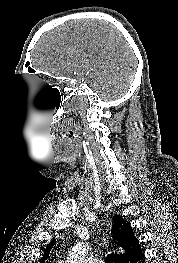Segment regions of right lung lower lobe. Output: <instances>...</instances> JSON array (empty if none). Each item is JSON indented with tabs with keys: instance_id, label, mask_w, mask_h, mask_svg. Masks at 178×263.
I'll use <instances>...</instances> for the list:
<instances>
[{
	"instance_id": "1",
	"label": "right lung lower lobe",
	"mask_w": 178,
	"mask_h": 263,
	"mask_svg": "<svg viewBox=\"0 0 178 263\" xmlns=\"http://www.w3.org/2000/svg\"><path fill=\"white\" fill-rule=\"evenodd\" d=\"M127 263H145L144 254L140 250L132 259L127 261Z\"/></svg>"
}]
</instances>
